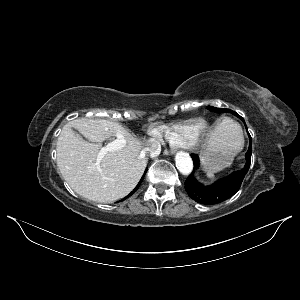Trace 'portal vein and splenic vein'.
I'll return each mask as SVG.
<instances>
[{"label": "portal vein and splenic vein", "mask_w": 300, "mask_h": 300, "mask_svg": "<svg viewBox=\"0 0 300 300\" xmlns=\"http://www.w3.org/2000/svg\"><path fill=\"white\" fill-rule=\"evenodd\" d=\"M124 144H125V140L121 136L118 135L117 139H115L112 142H109L105 147H103L99 151V153L97 155V161L99 162L107 152L121 149L122 147H124Z\"/></svg>", "instance_id": "portal-vein-and-splenic-vein-1"}]
</instances>
